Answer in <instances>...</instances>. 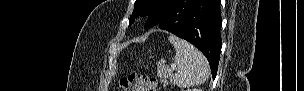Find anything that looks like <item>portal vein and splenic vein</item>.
Masks as SVG:
<instances>
[{
    "instance_id": "obj_1",
    "label": "portal vein and splenic vein",
    "mask_w": 304,
    "mask_h": 91,
    "mask_svg": "<svg viewBox=\"0 0 304 91\" xmlns=\"http://www.w3.org/2000/svg\"><path fill=\"white\" fill-rule=\"evenodd\" d=\"M171 68L175 69L176 68L175 64H171Z\"/></svg>"
}]
</instances>
